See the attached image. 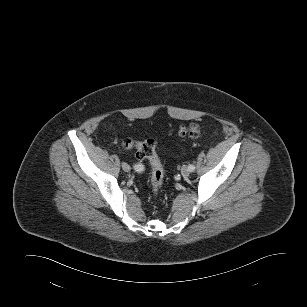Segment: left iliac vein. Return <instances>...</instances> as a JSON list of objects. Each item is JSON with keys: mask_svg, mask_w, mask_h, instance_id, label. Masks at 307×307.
I'll list each match as a JSON object with an SVG mask.
<instances>
[{"mask_svg": "<svg viewBox=\"0 0 307 307\" xmlns=\"http://www.w3.org/2000/svg\"><path fill=\"white\" fill-rule=\"evenodd\" d=\"M190 170H189V167L184 165L182 168H181V174L183 177H188L189 174H190Z\"/></svg>", "mask_w": 307, "mask_h": 307, "instance_id": "obj_1", "label": "left iliac vein"}]
</instances>
